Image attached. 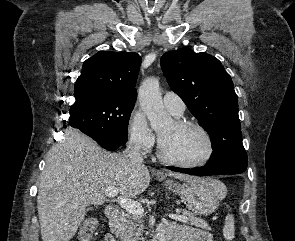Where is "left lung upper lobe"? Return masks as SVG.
<instances>
[{
    "label": "left lung upper lobe",
    "instance_id": "5c2ea615",
    "mask_svg": "<svg viewBox=\"0 0 295 241\" xmlns=\"http://www.w3.org/2000/svg\"><path fill=\"white\" fill-rule=\"evenodd\" d=\"M161 67L171 89L210 136L213 152L207 165L245 171L238 98L220 61L182 48L163 54Z\"/></svg>",
    "mask_w": 295,
    "mask_h": 241
}]
</instances>
